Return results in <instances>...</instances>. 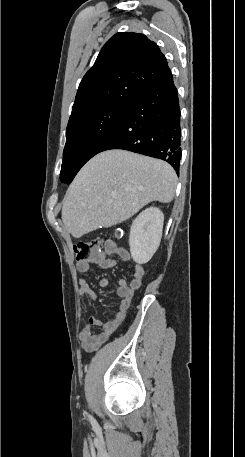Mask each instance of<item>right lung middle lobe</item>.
<instances>
[{
    "label": "right lung middle lobe",
    "instance_id": "right-lung-middle-lobe-1",
    "mask_svg": "<svg viewBox=\"0 0 245 457\" xmlns=\"http://www.w3.org/2000/svg\"><path fill=\"white\" fill-rule=\"evenodd\" d=\"M132 103L115 101L69 119L60 180L71 183L80 168L116 131Z\"/></svg>",
    "mask_w": 245,
    "mask_h": 457
}]
</instances>
